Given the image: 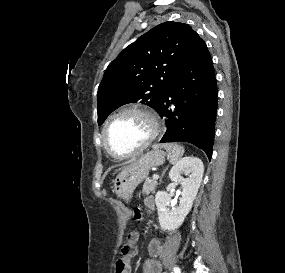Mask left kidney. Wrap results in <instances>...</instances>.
I'll return each mask as SVG.
<instances>
[{
	"label": "left kidney",
	"mask_w": 285,
	"mask_h": 273,
	"mask_svg": "<svg viewBox=\"0 0 285 273\" xmlns=\"http://www.w3.org/2000/svg\"><path fill=\"white\" fill-rule=\"evenodd\" d=\"M204 173L203 162L196 157L187 156L179 160L170 170L169 178L181 184L182 197L179 206L169 210L171 197L166 191H159L155 196L158 219L161 230L171 231L179 228L190 212L196 198ZM189 176L184 179L182 175Z\"/></svg>",
	"instance_id": "left-kidney-1"
}]
</instances>
